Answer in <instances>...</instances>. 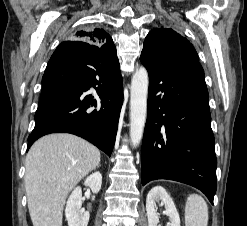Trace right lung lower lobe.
Returning <instances> with one entry per match:
<instances>
[{"instance_id": "1", "label": "right lung lower lobe", "mask_w": 247, "mask_h": 226, "mask_svg": "<svg viewBox=\"0 0 247 226\" xmlns=\"http://www.w3.org/2000/svg\"><path fill=\"white\" fill-rule=\"evenodd\" d=\"M98 85V87H95ZM93 86L97 96L88 94ZM123 103L116 47L107 49L78 40L55 50L42 78L35 127L28 148L40 137L66 132L111 155Z\"/></svg>"}]
</instances>
